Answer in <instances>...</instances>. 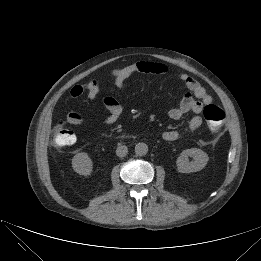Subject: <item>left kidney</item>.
I'll use <instances>...</instances> for the list:
<instances>
[{"label":"left kidney","mask_w":261,"mask_h":261,"mask_svg":"<svg viewBox=\"0 0 261 261\" xmlns=\"http://www.w3.org/2000/svg\"><path fill=\"white\" fill-rule=\"evenodd\" d=\"M188 157H193L194 161L189 162ZM209 157L207 153L199 148H191L183 150L177 158L176 165L180 173H191L202 170Z\"/></svg>","instance_id":"obj_1"}]
</instances>
